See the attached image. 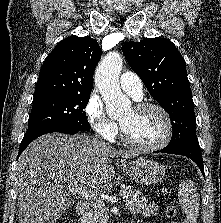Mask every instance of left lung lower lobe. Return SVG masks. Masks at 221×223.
<instances>
[{"mask_svg": "<svg viewBox=\"0 0 221 223\" xmlns=\"http://www.w3.org/2000/svg\"><path fill=\"white\" fill-rule=\"evenodd\" d=\"M156 152L186 156L190 158L191 160H193L198 165L201 172L205 176L201 149L199 147V144H183V145H177V146H167L166 148L161 149L160 151H156Z\"/></svg>", "mask_w": 221, "mask_h": 223, "instance_id": "left-lung-lower-lobe-1", "label": "left lung lower lobe"}]
</instances>
